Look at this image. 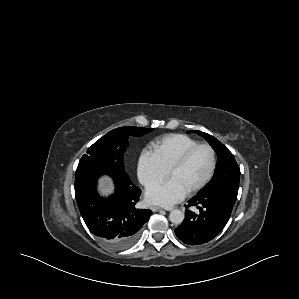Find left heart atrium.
<instances>
[{"label":"left heart atrium","instance_id":"1","mask_svg":"<svg viewBox=\"0 0 299 299\" xmlns=\"http://www.w3.org/2000/svg\"><path fill=\"white\" fill-rule=\"evenodd\" d=\"M187 191L175 180L155 184L146 191V200L149 203L170 207L181 201Z\"/></svg>","mask_w":299,"mask_h":299}]
</instances>
